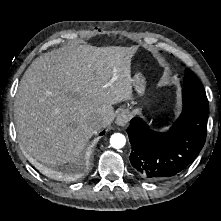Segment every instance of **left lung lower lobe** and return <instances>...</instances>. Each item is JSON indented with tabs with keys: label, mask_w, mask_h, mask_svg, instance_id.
<instances>
[{
	"label": "left lung lower lobe",
	"mask_w": 221,
	"mask_h": 221,
	"mask_svg": "<svg viewBox=\"0 0 221 221\" xmlns=\"http://www.w3.org/2000/svg\"><path fill=\"white\" fill-rule=\"evenodd\" d=\"M182 98V113L167 132L151 130L141 118L130 121V162L145 180L161 181L178 175L204 146L209 113L206 94L184 88Z\"/></svg>",
	"instance_id": "0a47b994"
}]
</instances>
